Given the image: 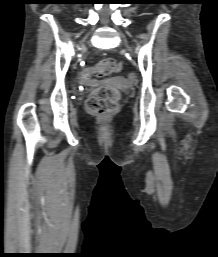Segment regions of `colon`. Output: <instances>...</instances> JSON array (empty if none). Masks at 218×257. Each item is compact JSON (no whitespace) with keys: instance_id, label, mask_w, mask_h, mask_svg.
<instances>
[{"instance_id":"obj_1","label":"colon","mask_w":218,"mask_h":257,"mask_svg":"<svg viewBox=\"0 0 218 257\" xmlns=\"http://www.w3.org/2000/svg\"><path fill=\"white\" fill-rule=\"evenodd\" d=\"M122 61L114 58H106L100 61L94 68L83 67L77 72V81L83 87H92L88 82L93 77L107 76L121 71ZM128 79H135V74H128ZM120 95L117 89L109 86L96 88L87 98L86 106L90 113L105 117L114 113L119 105Z\"/></svg>"}]
</instances>
